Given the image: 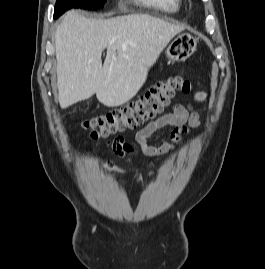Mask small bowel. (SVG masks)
<instances>
[{"label":"small bowel","instance_id":"1","mask_svg":"<svg viewBox=\"0 0 265 269\" xmlns=\"http://www.w3.org/2000/svg\"><path fill=\"white\" fill-rule=\"evenodd\" d=\"M208 97L207 91L197 92L194 96L196 101H204ZM199 124L198 114L189 105L175 103L172 105V113L158 117L149 122L140 129L135 135L136 146L126 142L123 138H117L111 143L112 151L120 158L129 163H133L131 156L138 151L158 159L159 157L170 153L174 150L175 145L182 140V137L193 127ZM166 126H172L173 130L170 134L171 142L164 143L160 146H152L147 143V139L157 130ZM154 161L149 164L151 167ZM167 166H163L161 170H166ZM104 170L107 172H115L118 174L125 173V170L117 167L113 162L108 161L104 164ZM153 171L150 172V175Z\"/></svg>","mask_w":265,"mask_h":269}]
</instances>
